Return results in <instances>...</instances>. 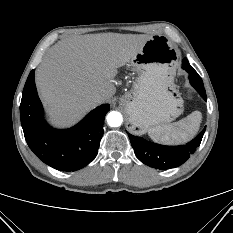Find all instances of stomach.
Segmentation results:
<instances>
[{
	"label": "stomach",
	"instance_id": "stomach-1",
	"mask_svg": "<svg viewBox=\"0 0 233 233\" xmlns=\"http://www.w3.org/2000/svg\"><path fill=\"white\" fill-rule=\"evenodd\" d=\"M179 58V50L167 37L154 35L130 61L137 77L120 104L131 131L143 134L170 123L183 112V100L174 84Z\"/></svg>",
	"mask_w": 233,
	"mask_h": 233
}]
</instances>
